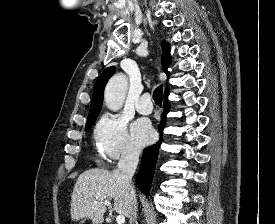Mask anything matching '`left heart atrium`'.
Masks as SVG:
<instances>
[{
	"mask_svg": "<svg viewBox=\"0 0 275 224\" xmlns=\"http://www.w3.org/2000/svg\"><path fill=\"white\" fill-rule=\"evenodd\" d=\"M132 137L138 146H144L152 141L154 131L148 121L138 119L132 125Z\"/></svg>",
	"mask_w": 275,
	"mask_h": 224,
	"instance_id": "left-heart-atrium-1",
	"label": "left heart atrium"
}]
</instances>
